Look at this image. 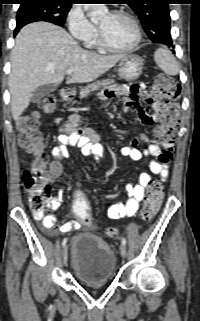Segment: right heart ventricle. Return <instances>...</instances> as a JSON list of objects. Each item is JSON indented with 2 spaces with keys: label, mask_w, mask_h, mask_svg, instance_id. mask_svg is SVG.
<instances>
[{
  "label": "right heart ventricle",
  "mask_w": 200,
  "mask_h": 321,
  "mask_svg": "<svg viewBox=\"0 0 200 321\" xmlns=\"http://www.w3.org/2000/svg\"><path fill=\"white\" fill-rule=\"evenodd\" d=\"M84 42H85V45L87 47H90V48L97 47L99 45L96 35H94L91 38L85 40Z\"/></svg>",
  "instance_id": "1"
}]
</instances>
